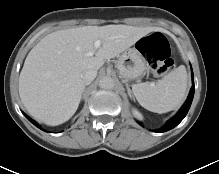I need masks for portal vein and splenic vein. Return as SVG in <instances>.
<instances>
[{"instance_id":"portal-vein-and-splenic-vein-1","label":"portal vein and splenic vein","mask_w":219,"mask_h":174,"mask_svg":"<svg viewBox=\"0 0 219 174\" xmlns=\"http://www.w3.org/2000/svg\"><path fill=\"white\" fill-rule=\"evenodd\" d=\"M100 45H101V41L100 40L95 41L94 49L89 51L86 55L89 56V57L93 56L95 54L96 50L100 47Z\"/></svg>"}]
</instances>
